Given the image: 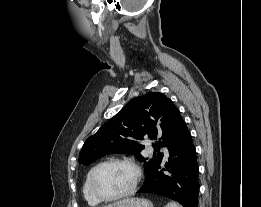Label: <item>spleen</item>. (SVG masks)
Returning a JSON list of instances; mask_svg holds the SVG:
<instances>
[{"label": "spleen", "mask_w": 261, "mask_h": 207, "mask_svg": "<svg viewBox=\"0 0 261 207\" xmlns=\"http://www.w3.org/2000/svg\"><path fill=\"white\" fill-rule=\"evenodd\" d=\"M165 207H180V206L177 205L175 202H170Z\"/></svg>", "instance_id": "obj_1"}]
</instances>
